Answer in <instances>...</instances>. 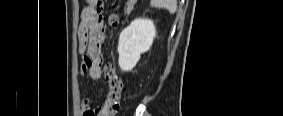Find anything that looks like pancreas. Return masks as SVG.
Returning <instances> with one entry per match:
<instances>
[{"label":"pancreas","instance_id":"1","mask_svg":"<svg viewBox=\"0 0 283 116\" xmlns=\"http://www.w3.org/2000/svg\"><path fill=\"white\" fill-rule=\"evenodd\" d=\"M133 7L131 6H128L126 9H125V13L126 14H129L131 11H132Z\"/></svg>","mask_w":283,"mask_h":116}]
</instances>
